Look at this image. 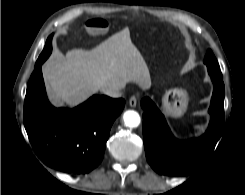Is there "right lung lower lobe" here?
<instances>
[{
  "label": "right lung lower lobe",
  "mask_w": 245,
  "mask_h": 195,
  "mask_svg": "<svg viewBox=\"0 0 245 195\" xmlns=\"http://www.w3.org/2000/svg\"><path fill=\"white\" fill-rule=\"evenodd\" d=\"M52 36L46 45L51 46ZM41 65L29 80L24 126L38 157L49 167L85 174L102 161L110 129L125 101L94 95L74 109L55 108L46 96Z\"/></svg>",
  "instance_id": "right-lung-lower-lobe-1"
}]
</instances>
